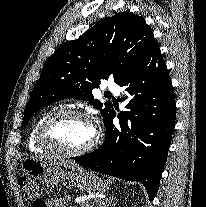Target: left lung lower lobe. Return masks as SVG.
<instances>
[{"label":"left lung lower lobe","instance_id":"0a47b994","mask_svg":"<svg viewBox=\"0 0 206 207\" xmlns=\"http://www.w3.org/2000/svg\"><path fill=\"white\" fill-rule=\"evenodd\" d=\"M128 111H113L105 124L106 139L94 152L75 162L97 172L141 182L152 201L156 196L175 126L176 102L172 82L159 46L146 54L120 84Z\"/></svg>","mask_w":206,"mask_h":207}]
</instances>
